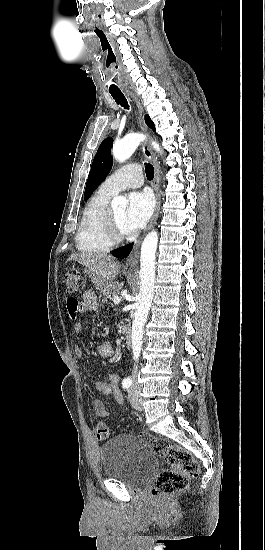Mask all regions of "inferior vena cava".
Here are the masks:
<instances>
[{
  "label": "inferior vena cava",
  "mask_w": 265,
  "mask_h": 550,
  "mask_svg": "<svg viewBox=\"0 0 265 550\" xmlns=\"http://www.w3.org/2000/svg\"><path fill=\"white\" fill-rule=\"evenodd\" d=\"M136 370H137V367H135V370L133 371V379H135Z\"/></svg>",
  "instance_id": "obj_1"
}]
</instances>
